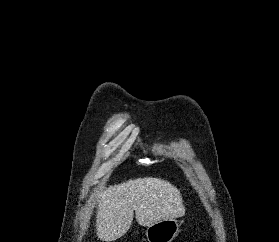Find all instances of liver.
<instances>
[{
    "label": "liver",
    "instance_id": "1",
    "mask_svg": "<svg viewBox=\"0 0 279 242\" xmlns=\"http://www.w3.org/2000/svg\"><path fill=\"white\" fill-rule=\"evenodd\" d=\"M141 226L182 217L185 207L180 191L159 178H138L109 186L99 193L96 231L102 241H115L130 228L133 217Z\"/></svg>",
    "mask_w": 279,
    "mask_h": 242
}]
</instances>
